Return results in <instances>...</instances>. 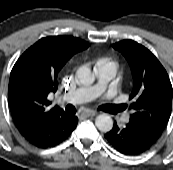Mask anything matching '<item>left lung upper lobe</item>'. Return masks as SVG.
<instances>
[{
	"mask_svg": "<svg viewBox=\"0 0 173 170\" xmlns=\"http://www.w3.org/2000/svg\"><path fill=\"white\" fill-rule=\"evenodd\" d=\"M113 47L125 56L133 76L130 122L159 138L171 115L172 85L166 70L152 52L135 41L123 40Z\"/></svg>",
	"mask_w": 173,
	"mask_h": 170,
	"instance_id": "1",
	"label": "left lung upper lobe"
}]
</instances>
